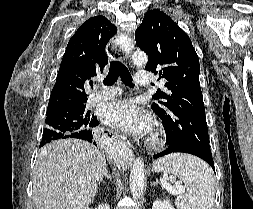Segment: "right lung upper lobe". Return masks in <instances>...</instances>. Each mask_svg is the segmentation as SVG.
I'll return each mask as SVG.
<instances>
[{
    "instance_id": "1",
    "label": "right lung upper lobe",
    "mask_w": 253,
    "mask_h": 209,
    "mask_svg": "<svg viewBox=\"0 0 253 209\" xmlns=\"http://www.w3.org/2000/svg\"><path fill=\"white\" fill-rule=\"evenodd\" d=\"M116 32V26L103 16L81 25L68 42L47 112L86 103L87 81L103 72L108 63L105 46Z\"/></svg>"
}]
</instances>
